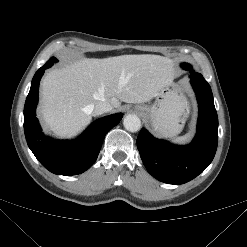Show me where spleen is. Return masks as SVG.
Returning a JSON list of instances; mask_svg holds the SVG:
<instances>
[{
	"instance_id": "spleen-1",
	"label": "spleen",
	"mask_w": 247,
	"mask_h": 247,
	"mask_svg": "<svg viewBox=\"0 0 247 247\" xmlns=\"http://www.w3.org/2000/svg\"><path fill=\"white\" fill-rule=\"evenodd\" d=\"M191 134L187 133L183 136L177 137L176 139H174V142L176 143H180V144H185L190 140Z\"/></svg>"
}]
</instances>
